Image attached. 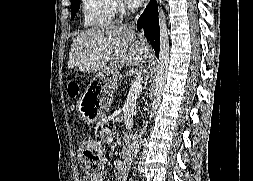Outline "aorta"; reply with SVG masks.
Returning a JSON list of instances; mask_svg holds the SVG:
<instances>
[{
    "mask_svg": "<svg viewBox=\"0 0 253 181\" xmlns=\"http://www.w3.org/2000/svg\"><path fill=\"white\" fill-rule=\"evenodd\" d=\"M162 4L163 0H158L160 50L156 66L153 108L157 107L161 101L169 65V31L167 28L166 16L162 9ZM153 108L151 109L152 111L154 110ZM149 119H154V114H149ZM150 120L148 121L149 123H145V128H152V123H150Z\"/></svg>",
    "mask_w": 253,
    "mask_h": 181,
    "instance_id": "1",
    "label": "aorta"
}]
</instances>
